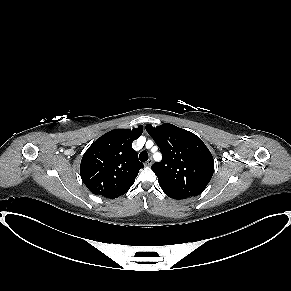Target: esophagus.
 Returning a JSON list of instances; mask_svg holds the SVG:
<instances>
[{
  "mask_svg": "<svg viewBox=\"0 0 291 291\" xmlns=\"http://www.w3.org/2000/svg\"><path fill=\"white\" fill-rule=\"evenodd\" d=\"M152 159L150 158L148 161L145 162V166L150 167L152 165Z\"/></svg>",
  "mask_w": 291,
  "mask_h": 291,
  "instance_id": "esophagus-1",
  "label": "esophagus"
}]
</instances>
